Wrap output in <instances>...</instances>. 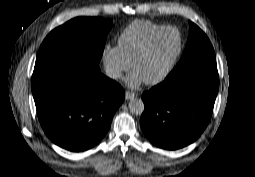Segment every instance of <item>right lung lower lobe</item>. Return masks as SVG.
Returning <instances> with one entry per match:
<instances>
[{
	"mask_svg": "<svg viewBox=\"0 0 255 177\" xmlns=\"http://www.w3.org/2000/svg\"><path fill=\"white\" fill-rule=\"evenodd\" d=\"M31 88L44 132L73 152L90 149L104 137L125 99L124 89L98 65L71 59L35 64Z\"/></svg>",
	"mask_w": 255,
	"mask_h": 177,
	"instance_id": "98d812e1",
	"label": "right lung lower lobe"
}]
</instances>
